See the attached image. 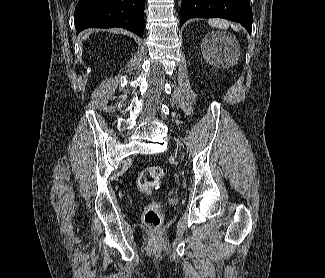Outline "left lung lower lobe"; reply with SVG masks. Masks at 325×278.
<instances>
[{
  "mask_svg": "<svg viewBox=\"0 0 325 278\" xmlns=\"http://www.w3.org/2000/svg\"><path fill=\"white\" fill-rule=\"evenodd\" d=\"M224 18L242 24L252 31V10L249 0H182L180 27L191 18Z\"/></svg>",
  "mask_w": 325,
  "mask_h": 278,
  "instance_id": "left-lung-lower-lobe-1",
  "label": "left lung lower lobe"
}]
</instances>
